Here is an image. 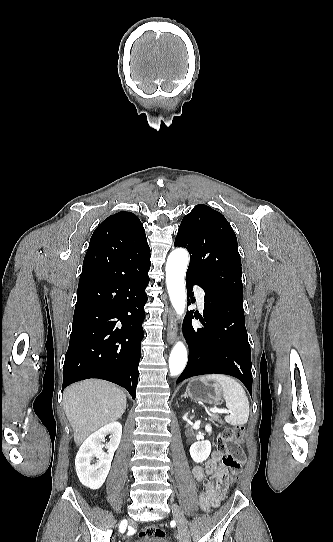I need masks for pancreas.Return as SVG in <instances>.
Returning a JSON list of instances; mask_svg holds the SVG:
<instances>
[{"label":"pancreas","instance_id":"cf45deb5","mask_svg":"<svg viewBox=\"0 0 333 542\" xmlns=\"http://www.w3.org/2000/svg\"><path fill=\"white\" fill-rule=\"evenodd\" d=\"M210 418H212V420H215V422H219V424H223L222 420H220L219 414H211Z\"/></svg>","mask_w":333,"mask_h":542}]
</instances>
